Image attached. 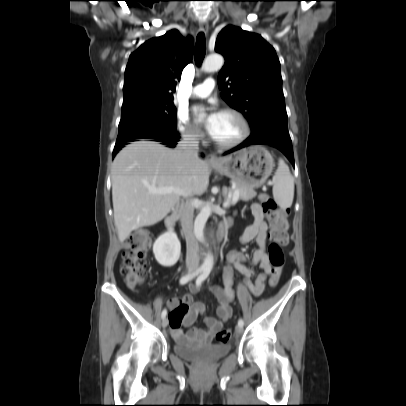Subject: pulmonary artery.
Returning <instances> with one entry per match:
<instances>
[{"mask_svg": "<svg viewBox=\"0 0 406 406\" xmlns=\"http://www.w3.org/2000/svg\"><path fill=\"white\" fill-rule=\"evenodd\" d=\"M215 88V81L212 78L205 79L201 84L195 86L191 91V97L193 98H205Z\"/></svg>", "mask_w": 406, "mask_h": 406, "instance_id": "obj_1", "label": "pulmonary artery"}]
</instances>
